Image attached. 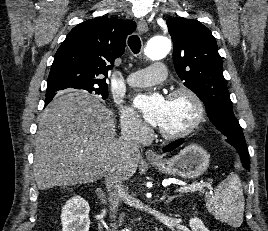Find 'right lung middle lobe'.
<instances>
[{"mask_svg": "<svg viewBox=\"0 0 268 231\" xmlns=\"http://www.w3.org/2000/svg\"><path fill=\"white\" fill-rule=\"evenodd\" d=\"M58 90H62V89H58ZM57 89H47V93H50V92H55V91H58ZM85 91H88L90 93H93V94H98V95H101L102 96V99H107L108 97V89L107 87H103V88H97V87H89V88H85L83 89Z\"/></svg>", "mask_w": 268, "mask_h": 231, "instance_id": "dd1d6c3e", "label": "right lung middle lobe"}]
</instances>
